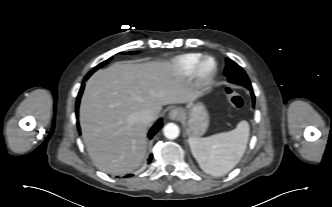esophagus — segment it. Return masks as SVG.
I'll list each match as a JSON object with an SVG mask.
<instances>
[{
	"label": "esophagus",
	"instance_id": "obj_1",
	"mask_svg": "<svg viewBox=\"0 0 332 207\" xmlns=\"http://www.w3.org/2000/svg\"><path fill=\"white\" fill-rule=\"evenodd\" d=\"M182 110L180 108H173L169 112V118L172 120H179L182 117Z\"/></svg>",
	"mask_w": 332,
	"mask_h": 207
}]
</instances>
